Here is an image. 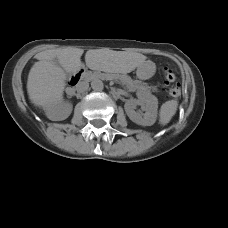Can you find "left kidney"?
<instances>
[{
  "mask_svg": "<svg viewBox=\"0 0 228 228\" xmlns=\"http://www.w3.org/2000/svg\"><path fill=\"white\" fill-rule=\"evenodd\" d=\"M143 104L145 106V113L143 116L135 112V108L138 105ZM158 101L157 98L149 94H141L138 99H127L124 105L125 112L129 119L140 126H151L156 121Z\"/></svg>",
  "mask_w": 228,
  "mask_h": 228,
  "instance_id": "1",
  "label": "left kidney"
}]
</instances>
